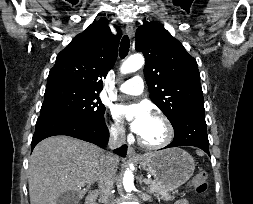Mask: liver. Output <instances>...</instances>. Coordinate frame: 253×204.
<instances>
[{
    "mask_svg": "<svg viewBox=\"0 0 253 204\" xmlns=\"http://www.w3.org/2000/svg\"><path fill=\"white\" fill-rule=\"evenodd\" d=\"M107 155L101 148L69 136L44 139L30 157V203L57 204L58 197L67 191L77 193L78 203L91 185L99 181ZM119 161L114 156L116 168Z\"/></svg>",
    "mask_w": 253,
    "mask_h": 204,
    "instance_id": "liver-1",
    "label": "liver"
}]
</instances>
